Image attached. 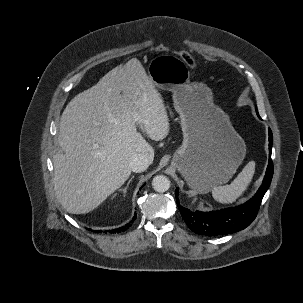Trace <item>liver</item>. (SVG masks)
<instances>
[{
    "instance_id": "1",
    "label": "liver",
    "mask_w": 303,
    "mask_h": 303,
    "mask_svg": "<svg viewBox=\"0 0 303 303\" xmlns=\"http://www.w3.org/2000/svg\"><path fill=\"white\" fill-rule=\"evenodd\" d=\"M137 125L154 141L170 130L163 99L137 58L68 103L57 137L62 153L54 155L53 166L56 196L69 213H88L120 188L134 155L153 162L154 149Z\"/></svg>"
}]
</instances>
